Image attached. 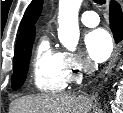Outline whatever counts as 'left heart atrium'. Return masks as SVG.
<instances>
[{
  "label": "left heart atrium",
  "mask_w": 123,
  "mask_h": 113,
  "mask_svg": "<svg viewBox=\"0 0 123 113\" xmlns=\"http://www.w3.org/2000/svg\"><path fill=\"white\" fill-rule=\"evenodd\" d=\"M85 47L87 54L93 62L105 61L112 52V40L107 31L96 29L85 36Z\"/></svg>",
  "instance_id": "obj_1"
}]
</instances>
